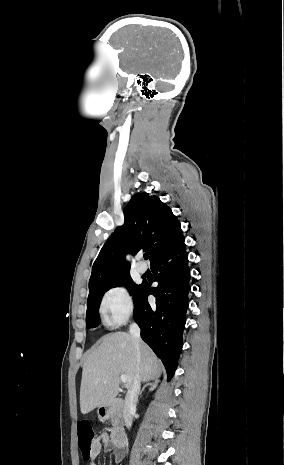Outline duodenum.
<instances>
[{"mask_svg":"<svg viewBox=\"0 0 284 465\" xmlns=\"http://www.w3.org/2000/svg\"><path fill=\"white\" fill-rule=\"evenodd\" d=\"M125 406V401L121 399H115L106 406H102L99 411V418L105 420L108 417L113 416L115 412L121 411ZM126 433L125 429L117 425L111 432V442L114 447L122 448L125 445Z\"/></svg>","mask_w":284,"mask_h":465,"instance_id":"obj_1","label":"duodenum"}]
</instances>
